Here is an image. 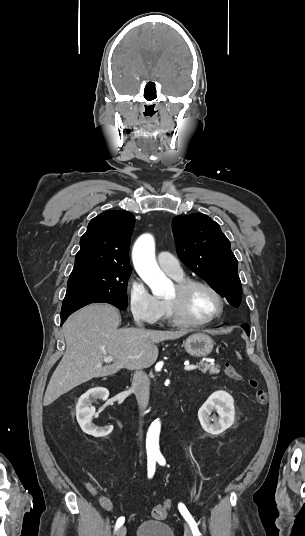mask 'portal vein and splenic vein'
<instances>
[{
  "label": "portal vein and splenic vein",
  "instance_id": "1",
  "mask_svg": "<svg viewBox=\"0 0 305 536\" xmlns=\"http://www.w3.org/2000/svg\"><path fill=\"white\" fill-rule=\"evenodd\" d=\"M114 358L113 356H107V354H104L103 362H113ZM198 366H189V364H185L184 370H196Z\"/></svg>",
  "mask_w": 305,
  "mask_h": 536
}]
</instances>
